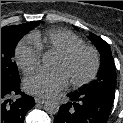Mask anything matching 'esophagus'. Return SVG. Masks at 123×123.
<instances>
[{
  "label": "esophagus",
  "mask_w": 123,
  "mask_h": 123,
  "mask_svg": "<svg viewBox=\"0 0 123 123\" xmlns=\"http://www.w3.org/2000/svg\"><path fill=\"white\" fill-rule=\"evenodd\" d=\"M45 101H46L45 99H41V98H38V97L35 98V102L39 103V104H43V103H45Z\"/></svg>",
  "instance_id": "1"
}]
</instances>
